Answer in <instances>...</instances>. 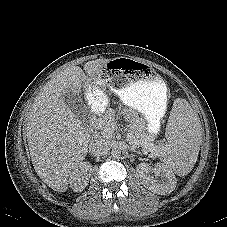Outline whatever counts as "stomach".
<instances>
[{
    "label": "stomach",
    "mask_w": 227,
    "mask_h": 227,
    "mask_svg": "<svg viewBox=\"0 0 227 227\" xmlns=\"http://www.w3.org/2000/svg\"><path fill=\"white\" fill-rule=\"evenodd\" d=\"M90 80L86 95L94 111L107 110L103 90L110 88L125 105L145 115L150 132L156 130L165 112L167 88L154 70L131 58H116L99 63Z\"/></svg>",
    "instance_id": "stomach-1"
}]
</instances>
